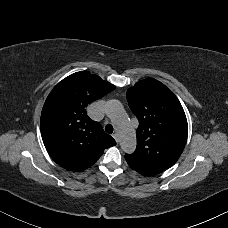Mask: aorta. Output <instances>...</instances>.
I'll list each match as a JSON object with an SVG mask.
<instances>
[{
    "instance_id": "762f6f07",
    "label": "aorta",
    "mask_w": 228,
    "mask_h": 228,
    "mask_svg": "<svg viewBox=\"0 0 228 228\" xmlns=\"http://www.w3.org/2000/svg\"><path fill=\"white\" fill-rule=\"evenodd\" d=\"M105 110L116 127L122 150L125 153H132L136 148V133L122 104L118 100H109L106 102Z\"/></svg>"
}]
</instances>
